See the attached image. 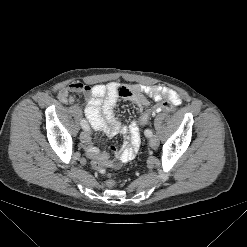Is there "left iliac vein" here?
Wrapping results in <instances>:
<instances>
[{"label": "left iliac vein", "mask_w": 247, "mask_h": 247, "mask_svg": "<svg viewBox=\"0 0 247 247\" xmlns=\"http://www.w3.org/2000/svg\"><path fill=\"white\" fill-rule=\"evenodd\" d=\"M158 144H159V141H158L157 137L156 136H151V138L149 140L150 147L154 149V148H156L158 146Z\"/></svg>", "instance_id": "left-iliac-vein-1"}]
</instances>
